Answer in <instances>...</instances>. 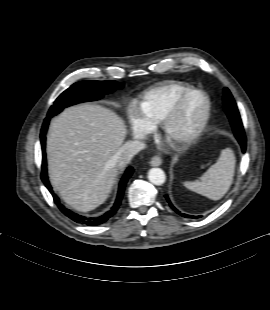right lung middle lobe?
<instances>
[{"mask_svg":"<svg viewBox=\"0 0 270 310\" xmlns=\"http://www.w3.org/2000/svg\"><path fill=\"white\" fill-rule=\"evenodd\" d=\"M124 84L116 81H81L65 90L51 106L47 117L61 112L65 107L84 102L98 100L105 94L123 88Z\"/></svg>","mask_w":270,"mask_h":310,"instance_id":"1","label":"right lung middle lobe"}]
</instances>
